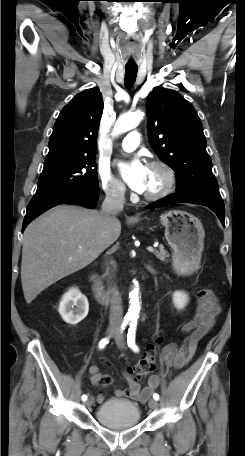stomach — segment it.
Here are the masks:
<instances>
[{
	"label": "stomach",
	"mask_w": 245,
	"mask_h": 456,
	"mask_svg": "<svg viewBox=\"0 0 245 456\" xmlns=\"http://www.w3.org/2000/svg\"><path fill=\"white\" fill-rule=\"evenodd\" d=\"M165 227V238L173 249V267L180 274H191L199 268L205 232L194 215L171 210L160 216Z\"/></svg>",
	"instance_id": "0dacf381"
}]
</instances>
